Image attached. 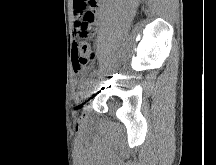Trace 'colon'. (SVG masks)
<instances>
[{
    "instance_id": "5ec220e1",
    "label": "colon",
    "mask_w": 216,
    "mask_h": 165,
    "mask_svg": "<svg viewBox=\"0 0 216 165\" xmlns=\"http://www.w3.org/2000/svg\"><path fill=\"white\" fill-rule=\"evenodd\" d=\"M93 15L91 12H86L83 16L82 22L78 28L75 29V34L78 42L74 48V67L76 72H80L87 67L95 58L93 51L89 45V38L93 31L90 29V22Z\"/></svg>"
}]
</instances>
